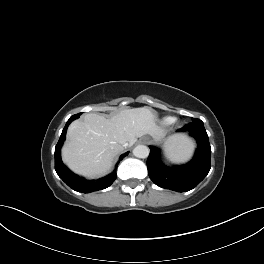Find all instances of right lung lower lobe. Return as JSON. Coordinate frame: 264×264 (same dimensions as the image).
<instances>
[{
    "label": "right lung lower lobe",
    "mask_w": 264,
    "mask_h": 264,
    "mask_svg": "<svg viewBox=\"0 0 264 264\" xmlns=\"http://www.w3.org/2000/svg\"><path fill=\"white\" fill-rule=\"evenodd\" d=\"M79 115L80 114H76L69 118L55 147V170L58 176L73 190L83 193H90L109 187L115 181L117 174L115 169L111 174L104 178L98 180H85L84 178L72 173L67 167L63 165L61 160V147L66 138V131L69 124L73 120L77 119ZM127 154L128 152L123 154L119 161H121L125 156H127Z\"/></svg>",
    "instance_id": "98d812e1"
}]
</instances>
